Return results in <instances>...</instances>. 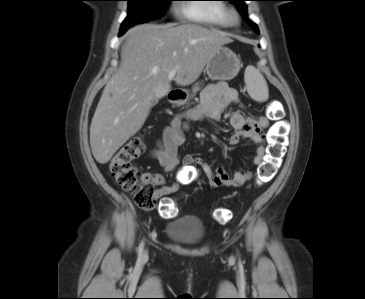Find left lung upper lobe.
<instances>
[{
	"mask_svg": "<svg viewBox=\"0 0 365 299\" xmlns=\"http://www.w3.org/2000/svg\"><path fill=\"white\" fill-rule=\"evenodd\" d=\"M228 1H232L233 3L236 4V7L239 10V12L241 13L243 19L253 28V30L257 34H259V30H258L257 25L247 19L246 5L243 3V1H246V0H228Z\"/></svg>",
	"mask_w": 365,
	"mask_h": 299,
	"instance_id": "1",
	"label": "left lung upper lobe"
}]
</instances>
